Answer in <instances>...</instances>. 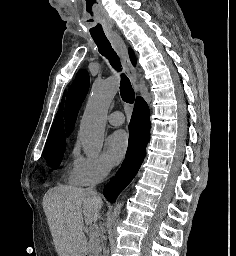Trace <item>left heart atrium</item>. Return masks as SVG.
<instances>
[{
    "mask_svg": "<svg viewBox=\"0 0 236 256\" xmlns=\"http://www.w3.org/2000/svg\"><path fill=\"white\" fill-rule=\"evenodd\" d=\"M129 147V136L123 131L119 130L113 133L108 141L107 154L112 164H119L125 157Z\"/></svg>",
    "mask_w": 236,
    "mask_h": 256,
    "instance_id": "left-heart-atrium-1",
    "label": "left heart atrium"
}]
</instances>
